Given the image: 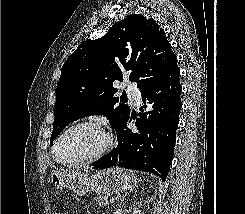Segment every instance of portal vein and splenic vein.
Returning a JSON list of instances; mask_svg holds the SVG:
<instances>
[{
	"label": "portal vein and splenic vein",
	"instance_id": "18ae733b",
	"mask_svg": "<svg viewBox=\"0 0 245 214\" xmlns=\"http://www.w3.org/2000/svg\"><path fill=\"white\" fill-rule=\"evenodd\" d=\"M110 202H111V203H114V202H115V200H114V199H110Z\"/></svg>",
	"mask_w": 245,
	"mask_h": 214
}]
</instances>
